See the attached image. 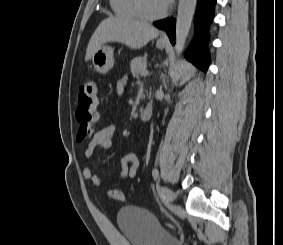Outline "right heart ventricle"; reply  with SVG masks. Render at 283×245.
Returning <instances> with one entry per match:
<instances>
[{
  "instance_id": "right-heart-ventricle-1",
  "label": "right heart ventricle",
  "mask_w": 283,
  "mask_h": 245,
  "mask_svg": "<svg viewBox=\"0 0 283 245\" xmlns=\"http://www.w3.org/2000/svg\"><path fill=\"white\" fill-rule=\"evenodd\" d=\"M110 5L114 13L121 17L138 18L134 0H110Z\"/></svg>"
}]
</instances>
